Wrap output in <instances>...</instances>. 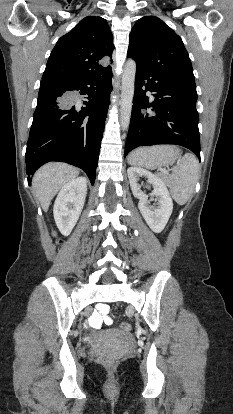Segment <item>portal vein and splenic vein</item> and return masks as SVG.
<instances>
[{"mask_svg": "<svg viewBox=\"0 0 233 414\" xmlns=\"http://www.w3.org/2000/svg\"><path fill=\"white\" fill-rule=\"evenodd\" d=\"M161 171L164 172V173H168V171L165 170V169H161Z\"/></svg>", "mask_w": 233, "mask_h": 414, "instance_id": "obj_1", "label": "portal vein and splenic vein"}]
</instances>
